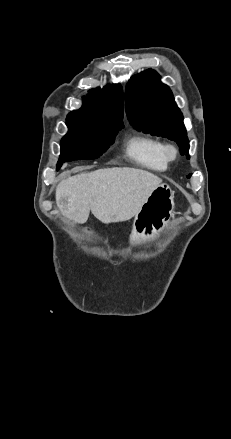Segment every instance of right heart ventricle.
Returning a JSON list of instances; mask_svg holds the SVG:
<instances>
[{
	"mask_svg": "<svg viewBox=\"0 0 231 439\" xmlns=\"http://www.w3.org/2000/svg\"><path fill=\"white\" fill-rule=\"evenodd\" d=\"M125 151L132 160L147 169L164 171L168 167L164 143L154 137L139 133L133 134L126 142Z\"/></svg>",
	"mask_w": 231,
	"mask_h": 439,
	"instance_id": "e07e8e85",
	"label": "right heart ventricle"
}]
</instances>
